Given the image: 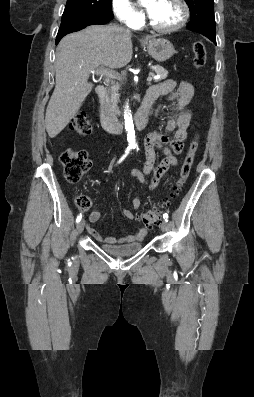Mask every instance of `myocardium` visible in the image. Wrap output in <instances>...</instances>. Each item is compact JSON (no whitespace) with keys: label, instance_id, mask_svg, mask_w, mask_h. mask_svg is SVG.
Here are the masks:
<instances>
[{"label":"myocardium","instance_id":"f54148a6","mask_svg":"<svg viewBox=\"0 0 254 397\" xmlns=\"http://www.w3.org/2000/svg\"><path fill=\"white\" fill-rule=\"evenodd\" d=\"M181 8V18L179 21L169 27H161L156 25L153 20L151 19L150 15H148V25L155 31L160 33H172L179 29H181L187 22L189 17V8L184 0H174Z\"/></svg>","mask_w":254,"mask_h":397}]
</instances>
